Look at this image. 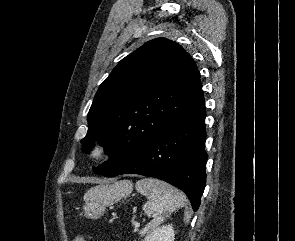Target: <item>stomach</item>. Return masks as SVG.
Segmentation results:
<instances>
[{"mask_svg":"<svg viewBox=\"0 0 295 241\" xmlns=\"http://www.w3.org/2000/svg\"><path fill=\"white\" fill-rule=\"evenodd\" d=\"M131 191L132 184L129 181H119L91 188L84 196L85 216L91 219L100 218L106 207L126 199Z\"/></svg>","mask_w":295,"mask_h":241,"instance_id":"1","label":"stomach"}]
</instances>
